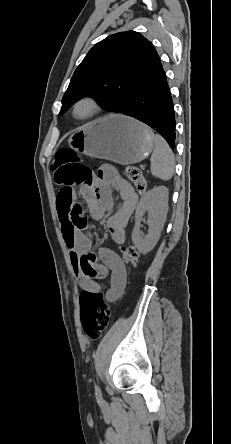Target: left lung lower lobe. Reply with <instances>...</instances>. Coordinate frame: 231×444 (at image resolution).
<instances>
[{
	"label": "left lung lower lobe",
	"mask_w": 231,
	"mask_h": 444,
	"mask_svg": "<svg viewBox=\"0 0 231 444\" xmlns=\"http://www.w3.org/2000/svg\"><path fill=\"white\" fill-rule=\"evenodd\" d=\"M138 81V85L118 113L146 123L162 135L174 150V107L159 56L142 73Z\"/></svg>",
	"instance_id": "1"
}]
</instances>
